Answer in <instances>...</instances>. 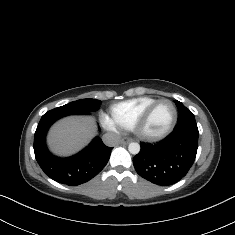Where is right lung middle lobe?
<instances>
[{
  "instance_id": "right-lung-middle-lobe-1",
  "label": "right lung middle lobe",
  "mask_w": 235,
  "mask_h": 235,
  "mask_svg": "<svg viewBox=\"0 0 235 235\" xmlns=\"http://www.w3.org/2000/svg\"><path fill=\"white\" fill-rule=\"evenodd\" d=\"M100 103L101 101L96 99H81L55 108L54 111L62 116L71 114H90L99 109Z\"/></svg>"
}]
</instances>
